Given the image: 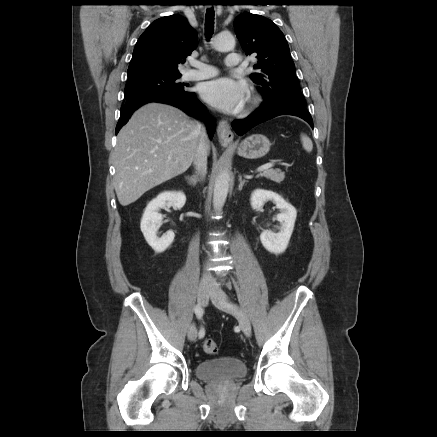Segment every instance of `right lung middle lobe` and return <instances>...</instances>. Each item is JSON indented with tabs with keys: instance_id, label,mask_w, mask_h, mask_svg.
<instances>
[{
	"instance_id": "obj_1",
	"label": "right lung middle lobe",
	"mask_w": 437,
	"mask_h": 437,
	"mask_svg": "<svg viewBox=\"0 0 437 437\" xmlns=\"http://www.w3.org/2000/svg\"><path fill=\"white\" fill-rule=\"evenodd\" d=\"M181 74L145 73L128 75L125 87L126 101L157 93H186Z\"/></svg>"
}]
</instances>
